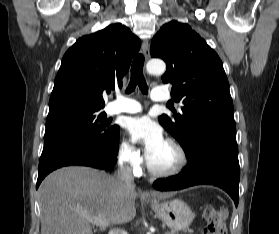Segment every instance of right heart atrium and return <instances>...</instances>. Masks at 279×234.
Wrapping results in <instances>:
<instances>
[{
  "mask_svg": "<svg viewBox=\"0 0 279 234\" xmlns=\"http://www.w3.org/2000/svg\"><path fill=\"white\" fill-rule=\"evenodd\" d=\"M117 158L118 162L131 172L137 171L143 162L140 151L125 139L118 144Z\"/></svg>",
  "mask_w": 279,
  "mask_h": 234,
  "instance_id": "1",
  "label": "right heart atrium"
}]
</instances>
